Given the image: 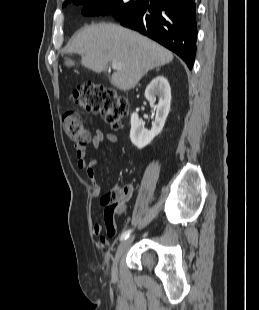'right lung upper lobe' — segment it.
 I'll list each match as a JSON object with an SVG mask.
<instances>
[{
  "instance_id": "obj_1",
  "label": "right lung upper lobe",
  "mask_w": 259,
  "mask_h": 310,
  "mask_svg": "<svg viewBox=\"0 0 259 310\" xmlns=\"http://www.w3.org/2000/svg\"><path fill=\"white\" fill-rule=\"evenodd\" d=\"M68 1H73V0H66L65 2H68ZM84 1H97V0H84Z\"/></svg>"
}]
</instances>
